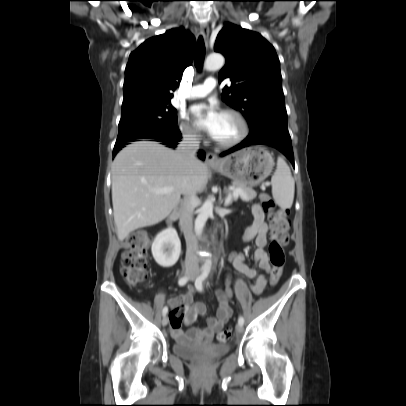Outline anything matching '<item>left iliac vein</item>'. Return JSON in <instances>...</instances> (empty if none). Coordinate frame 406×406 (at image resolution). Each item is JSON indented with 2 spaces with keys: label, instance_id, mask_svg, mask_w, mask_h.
<instances>
[{
  "label": "left iliac vein",
  "instance_id": "4c4485c4",
  "mask_svg": "<svg viewBox=\"0 0 406 406\" xmlns=\"http://www.w3.org/2000/svg\"><path fill=\"white\" fill-rule=\"evenodd\" d=\"M192 279H194V278H192ZM236 331H237L238 333L242 332V331H243V325L238 324V325L236 326Z\"/></svg>",
  "mask_w": 406,
  "mask_h": 406
}]
</instances>
